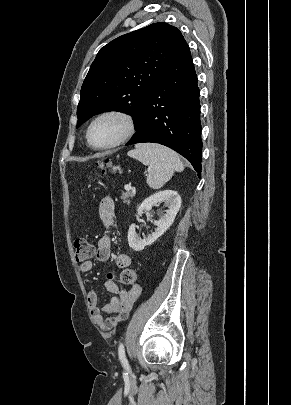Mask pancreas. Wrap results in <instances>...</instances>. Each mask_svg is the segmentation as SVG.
I'll return each instance as SVG.
<instances>
[{
	"mask_svg": "<svg viewBox=\"0 0 291 405\" xmlns=\"http://www.w3.org/2000/svg\"><path fill=\"white\" fill-rule=\"evenodd\" d=\"M133 197H134V194L132 192H129V191L123 192L122 195H121V199H123V202L127 203V204L130 203V198H133Z\"/></svg>",
	"mask_w": 291,
	"mask_h": 405,
	"instance_id": "cf45deb5",
	"label": "pancreas"
}]
</instances>
